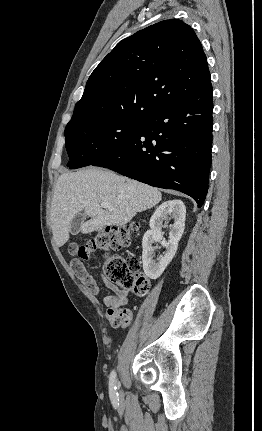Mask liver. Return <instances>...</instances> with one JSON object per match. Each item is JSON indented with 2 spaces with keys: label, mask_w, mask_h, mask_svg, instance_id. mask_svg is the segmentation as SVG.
<instances>
[{
  "label": "liver",
  "mask_w": 262,
  "mask_h": 431,
  "mask_svg": "<svg viewBox=\"0 0 262 431\" xmlns=\"http://www.w3.org/2000/svg\"><path fill=\"white\" fill-rule=\"evenodd\" d=\"M161 199L157 188L109 170L87 167L63 173L57 180L51 204L54 240L59 247L68 241L71 222L82 210L90 217L81 226L82 233L88 234L107 225L123 226ZM102 202L114 210L103 209Z\"/></svg>",
  "instance_id": "1"
}]
</instances>
